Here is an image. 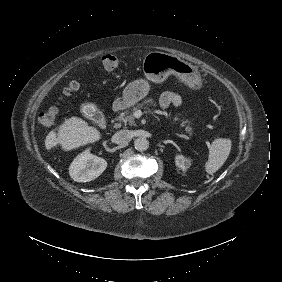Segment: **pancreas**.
<instances>
[{
    "instance_id": "cf45deb5",
    "label": "pancreas",
    "mask_w": 282,
    "mask_h": 282,
    "mask_svg": "<svg viewBox=\"0 0 282 282\" xmlns=\"http://www.w3.org/2000/svg\"><path fill=\"white\" fill-rule=\"evenodd\" d=\"M148 101H144L143 103L137 104L136 107H133L132 109L126 110L125 112L121 113L118 117V120L120 122L128 123L129 125H134L135 124V117L134 113L135 111L142 109L144 104L147 103ZM151 102V101H150ZM178 117L174 118V121H177ZM188 120L182 121L180 124L182 127L185 126V124H188ZM185 131L189 133L190 135L192 134V128L190 126H186Z\"/></svg>"
}]
</instances>
